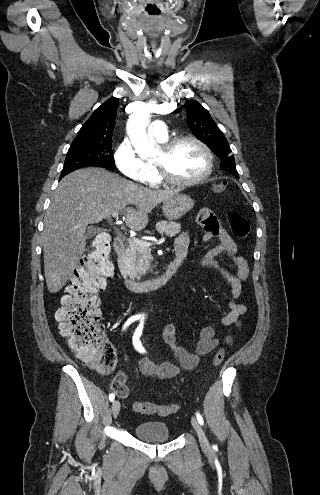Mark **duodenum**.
<instances>
[{
    "instance_id": "obj_1",
    "label": "duodenum",
    "mask_w": 320,
    "mask_h": 495,
    "mask_svg": "<svg viewBox=\"0 0 320 495\" xmlns=\"http://www.w3.org/2000/svg\"><path fill=\"white\" fill-rule=\"evenodd\" d=\"M113 246L115 253L119 259L121 268L123 269L124 258L126 254V247L123 239L116 238L114 240ZM185 257H186L185 251L179 252L176 250V258L168 264L166 271L162 275L149 280L137 281L129 277L125 272H123V281L130 290L139 293L159 289L164 285H166L171 280V278L175 275L181 262Z\"/></svg>"
}]
</instances>
